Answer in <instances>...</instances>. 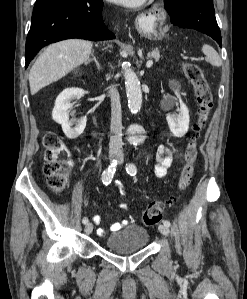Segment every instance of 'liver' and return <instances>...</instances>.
Instances as JSON below:
<instances>
[{
    "label": "liver",
    "instance_id": "obj_1",
    "mask_svg": "<svg viewBox=\"0 0 247 299\" xmlns=\"http://www.w3.org/2000/svg\"><path fill=\"white\" fill-rule=\"evenodd\" d=\"M93 43L68 39L49 45L37 58L29 72L30 92L35 95L47 85L58 81L74 68L87 63Z\"/></svg>",
    "mask_w": 247,
    "mask_h": 299
}]
</instances>
